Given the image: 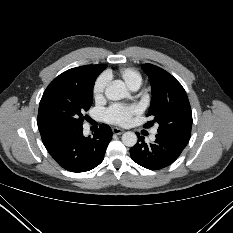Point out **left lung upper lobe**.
I'll return each mask as SVG.
<instances>
[{
    "mask_svg": "<svg viewBox=\"0 0 233 233\" xmlns=\"http://www.w3.org/2000/svg\"><path fill=\"white\" fill-rule=\"evenodd\" d=\"M143 70L149 76L152 86V100L148 115L159 124L158 133L177 135L190 139L192 112L188 97L182 85L168 72L155 65L144 64Z\"/></svg>",
    "mask_w": 233,
    "mask_h": 233,
    "instance_id": "1",
    "label": "left lung upper lobe"
}]
</instances>
